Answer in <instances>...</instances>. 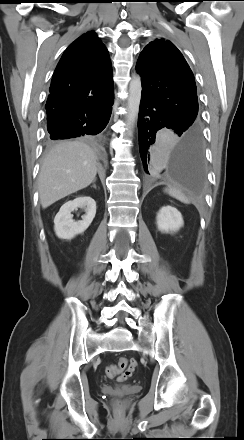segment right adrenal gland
<instances>
[{
	"label": "right adrenal gland",
	"mask_w": 244,
	"mask_h": 440,
	"mask_svg": "<svg viewBox=\"0 0 244 440\" xmlns=\"http://www.w3.org/2000/svg\"><path fill=\"white\" fill-rule=\"evenodd\" d=\"M92 187L96 189V185H95V184H93V186H92Z\"/></svg>",
	"instance_id": "2a0ac1e0"
}]
</instances>
